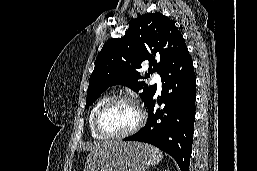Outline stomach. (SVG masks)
<instances>
[{
  "mask_svg": "<svg viewBox=\"0 0 257 171\" xmlns=\"http://www.w3.org/2000/svg\"><path fill=\"white\" fill-rule=\"evenodd\" d=\"M150 156L137 142H112L88 157L84 171H146Z\"/></svg>",
  "mask_w": 257,
  "mask_h": 171,
  "instance_id": "stomach-1",
  "label": "stomach"
}]
</instances>
